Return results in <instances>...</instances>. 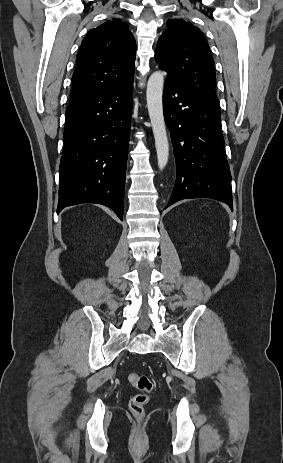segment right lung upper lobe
<instances>
[{
  "label": "right lung upper lobe",
  "mask_w": 283,
  "mask_h": 463,
  "mask_svg": "<svg viewBox=\"0 0 283 463\" xmlns=\"http://www.w3.org/2000/svg\"><path fill=\"white\" fill-rule=\"evenodd\" d=\"M135 52V39L122 20H108L92 29L76 57L70 103L132 81Z\"/></svg>",
  "instance_id": "cb5924a9"
}]
</instances>
